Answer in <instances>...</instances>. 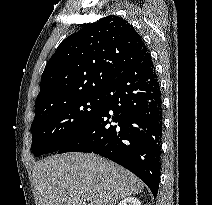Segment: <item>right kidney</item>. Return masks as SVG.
<instances>
[{
  "instance_id": "1",
  "label": "right kidney",
  "mask_w": 212,
  "mask_h": 205,
  "mask_svg": "<svg viewBox=\"0 0 212 205\" xmlns=\"http://www.w3.org/2000/svg\"><path fill=\"white\" fill-rule=\"evenodd\" d=\"M118 205H141V203L135 197H127L124 198Z\"/></svg>"
}]
</instances>
